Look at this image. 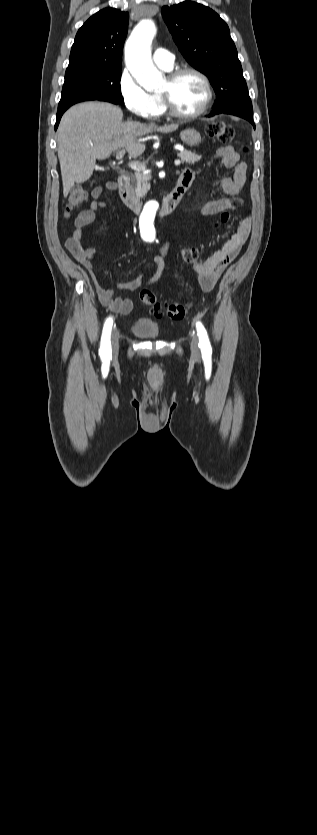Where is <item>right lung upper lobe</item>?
I'll list each match as a JSON object with an SVG mask.
<instances>
[{
  "instance_id": "cb5924a9",
  "label": "right lung upper lobe",
  "mask_w": 317,
  "mask_h": 835,
  "mask_svg": "<svg viewBox=\"0 0 317 835\" xmlns=\"http://www.w3.org/2000/svg\"><path fill=\"white\" fill-rule=\"evenodd\" d=\"M128 18V12L114 8L100 10L90 17L76 34L68 67L82 64L121 66Z\"/></svg>"
}]
</instances>
